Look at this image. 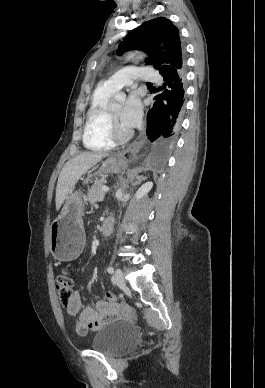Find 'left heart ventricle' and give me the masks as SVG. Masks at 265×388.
I'll list each match as a JSON object with an SVG mask.
<instances>
[{
	"instance_id": "left-heart-ventricle-1",
	"label": "left heart ventricle",
	"mask_w": 265,
	"mask_h": 388,
	"mask_svg": "<svg viewBox=\"0 0 265 388\" xmlns=\"http://www.w3.org/2000/svg\"><path fill=\"white\" fill-rule=\"evenodd\" d=\"M132 85V84H131ZM131 85L130 86H127L126 88H120L119 90H114V91H130L132 88H131ZM113 93V92H112ZM113 97V96H112ZM111 97V98H112ZM110 113L121 123V113H122V107H119V108H115V109H112V110H109ZM122 124V123H121Z\"/></svg>"
}]
</instances>
